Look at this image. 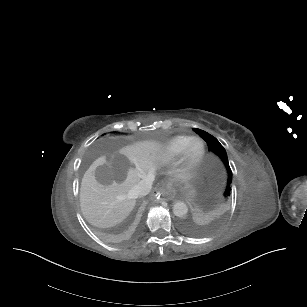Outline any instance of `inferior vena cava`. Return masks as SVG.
Masks as SVG:
<instances>
[{
  "label": "inferior vena cava",
  "instance_id": "obj_1",
  "mask_svg": "<svg viewBox=\"0 0 307 307\" xmlns=\"http://www.w3.org/2000/svg\"><path fill=\"white\" fill-rule=\"evenodd\" d=\"M154 178L146 176L132 190L131 193L137 198L150 193Z\"/></svg>",
  "mask_w": 307,
  "mask_h": 307
}]
</instances>
